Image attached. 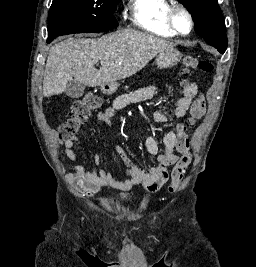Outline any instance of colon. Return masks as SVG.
I'll return each instance as SVG.
<instances>
[{
    "mask_svg": "<svg viewBox=\"0 0 256 267\" xmlns=\"http://www.w3.org/2000/svg\"><path fill=\"white\" fill-rule=\"evenodd\" d=\"M199 67L204 73L213 70L212 64L207 60H197L187 56L182 61V74L184 78L189 77ZM101 105V99L95 94H89L85 98L76 101L69 112V116L59 127V138L68 140L75 136L78 130L86 123L89 116ZM207 102L203 95L197 96L190 108L188 117L177 127L178 141L177 148L182 157L172 171V182L168 186L169 191H176L183 179L184 173L191 162L190 144L188 130L200 121L206 111Z\"/></svg>",
    "mask_w": 256,
    "mask_h": 267,
    "instance_id": "colon-1",
    "label": "colon"
}]
</instances>
